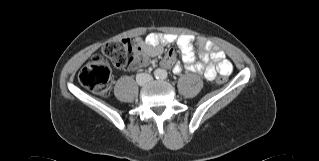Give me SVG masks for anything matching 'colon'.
Returning a JSON list of instances; mask_svg holds the SVG:
<instances>
[{
	"label": "colon",
	"instance_id": "5ec220e1",
	"mask_svg": "<svg viewBox=\"0 0 319 161\" xmlns=\"http://www.w3.org/2000/svg\"><path fill=\"white\" fill-rule=\"evenodd\" d=\"M102 50L117 67L135 70L151 63L146 49L130 39L108 41ZM225 81V76H220L217 80L220 84ZM79 82L97 94L106 95L110 90L111 70L103 59L96 55L81 68Z\"/></svg>",
	"mask_w": 319,
	"mask_h": 161
}]
</instances>
